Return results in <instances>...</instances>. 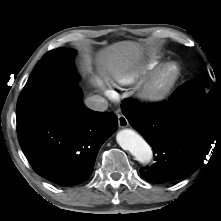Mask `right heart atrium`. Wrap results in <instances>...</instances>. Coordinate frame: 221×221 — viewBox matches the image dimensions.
<instances>
[{
	"mask_svg": "<svg viewBox=\"0 0 221 221\" xmlns=\"http://www.w3.org/2000/svg\"><path fill=\"white\" fill-rule=\"evenodd\" d=\"M104 92H105V94L108 95L109 97H112V96L115 94V92H114L112 89H110L109 87H107V88L104 90Z\"/></svg>",
	"mask_w": 221,
	"mask_h": 221,
	"instance_id": "d8ad5b80",
	"label": "right heart atrium"
}]
</instances>
